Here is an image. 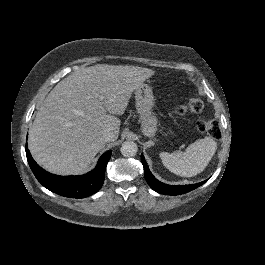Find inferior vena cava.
<instances>
[{"label": "inferior vena cava", "mask_w": 265, "mask_h": 265, "mask_svg": "<svg viewBox=\"0 0 265 265\" xmlns=\"http://www.w3.org/2000/svg\"><path fill=\"white\" fill-rule=\"evenodd\" d=\"M113 132L110 130L105 131L104 138L106 141H110L113 138Z\"/></svg>", "instance_id": "inferior-vena-cava-1"}]
</instances>
